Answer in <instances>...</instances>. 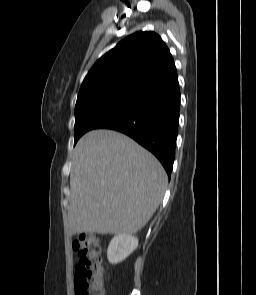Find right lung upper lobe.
Wrapping results in <instances>:
<instances>
[{"instance_id": "obj_1", "label": "right lung upper lobe", "mask_w": 256, "mask_h": 295, "mask_svg": "<svg viewBox=\"0 0 256 295\" xmlns=\"http://www.w3.org/2000/svg\"><path fill=\"white\" fill-rule=\"evenodd\" d=\"M174 63L159 35L136 32L102 56L86 75L77 104H94L109 97L137 92Z\"/></svg>"}]
</instances>
